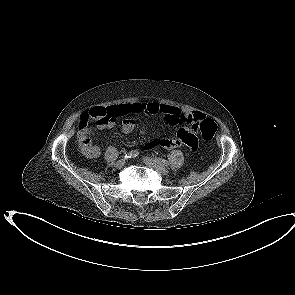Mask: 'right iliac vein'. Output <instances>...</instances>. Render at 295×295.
<instances>
[{
    "mask_svg": "<svg viewBox=\"0 0 295 295\" xmlns=\"http://www.w3.org/2000/svg\"><path fill=\"white\" fill-rule=\"evenodd\" d=\"M125 164H126V160L125 159H121V160H119V161L116 162V167L117 168H122V167L125 166Z\"/></svg>",
    "mask_w": 295,
    "mask_h": 295,
    "instance_id": "1",
    "label": "right iliac vein"
}]
</instances>
